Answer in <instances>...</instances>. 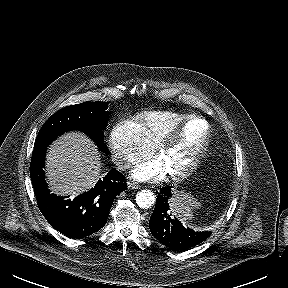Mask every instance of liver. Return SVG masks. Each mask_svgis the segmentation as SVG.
I'll return each instance as SVG.
<instances>
[{"label": "liver", "instance_id": "liver-1", "mask_svg": "<svg viewBox=\"0 0 288 288\" xmlns=\"http://www.w3.org/2000/svg\"><path fill=\"white\" fill-rule=\"evenodd\" d=\"M46 159L47 182L57 195L81 194L99 179V152L82 133L62 135L49 147Z\"/></svg>", "mask_w": 288, "mask_h": 288}]
</instances>
